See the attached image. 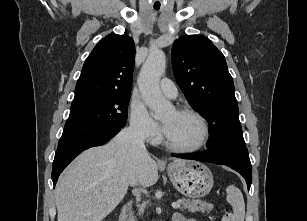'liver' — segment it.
Wrapping results in <instances>:
<instances>
[{
	"instance_id": "obj_1",
	"label": "liver",
	"mask_w": 307,
	"mask_h": 221,
	"mask_svg": "<svg viewBox=\"0 0 307 221\" xmlns=\"http://www.w3.org/2000/svg\"><path fill=\"white\" fill-rule=\"evenodd\" d=\"M157 180L158 164L147 151L134 150L113 139L84 151L59 177L57 219L102 221L124 198L129 186L149 187Z\"/></svg>"
}]
</instances>
